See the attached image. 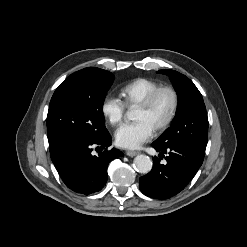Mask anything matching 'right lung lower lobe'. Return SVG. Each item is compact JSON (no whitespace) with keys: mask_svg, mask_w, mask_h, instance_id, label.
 Returning <instances> with one entry per match:
<instances>
[{"mask_svg":"<svg viewBox=\"0 0 247 247\" xmlns=\"http://www.w3.org/2000/svg\"><path fill=\"white\" fill-rule=\"evenodd\" d=\"M111 136L107 131L95 140L75 141L50 151L52 162L64 183L77 193L88 195L100 191L107 182V167L123 153L115 148L108 150ZM92 146L105 149L93 155Z\"/></svg>","mask_w":247,"mask_h":247,"instance_id":"obj_1","label":"right lung lower lobe"}]
</instances>
